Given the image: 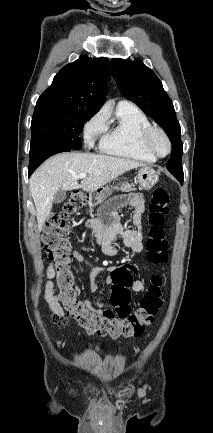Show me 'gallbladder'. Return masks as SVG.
Segmentation results:
<instances>
[{"label":"gallbladder","instance_id":"obj_1","mask_svg":"<svg viewBox=\"0 0 213 433\" xmlns=\"http://www.w3.org/2000/svg\"><path fill=\"white\" fill-rule=\"evenodd\" d=\"M65 199H66V190L61 188L54 194L53 202L55 204H59L63 202Z\"/></svg>","mask_w":213,"mask_h":433}]
</instances>
